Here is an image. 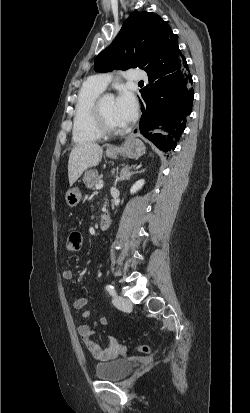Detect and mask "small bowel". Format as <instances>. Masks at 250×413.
Instances as JSON below:
<instances>
[{
	"label": "small bowel",
	"instance_id": "obj_1",
	"mask_svg": "<svg viewBox=\"0 0 250 413\" xmlns=\"http://www.w3.org/2000/svg\"><path fill=\"white\" fill-rule=\"evenodd\" d=\"M62 276L65 280H73L75 277V273L71 269H66L63 271ZM87 299L84 297L76 298L72 306L74 309L81 310L80 317L82 319H86L89 317L90 313L88 310H85L87 306ZM107 323V319L105 317H101L97 322L94 323V327L103 326ZM94 327H91L87 324H82L78 327V334L86 346L87 350L91 353V355L100 361H108L115 359L121 350V347L118 343V340L110 336L109 337V345L106 348H101L93 339V335L95 333Z\"/></svg>",
	"mask_w": 250,
	"mask_h": 413
}]
</instances>
